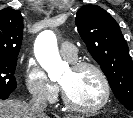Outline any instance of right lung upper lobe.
Masks as SVG:
<instances>
[{"mask_svg":"<svg viewBox=\"0 0 133 118\" xmlns=\"http://www.w3.org/2000/svg\"><path fill=\"white\" fill-rule=\"evenodd\" d=\"M23 18L18 10L0 11V58L17 59L23 37Z\"/></svg>","mask_w":133,"mask_h":118,"instance_id":"cb5924a9","label":"right lung upper lobe"}]
</instances>
